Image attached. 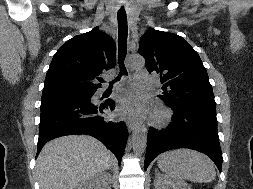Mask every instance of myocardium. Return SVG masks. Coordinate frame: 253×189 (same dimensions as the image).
<instances>
[{
    "label": "myocardium",
    "instance_id": "obj_1",
    "mask_svg": "<svg viewBox=\"0 0 253 189\" xmlns=\"http://www.w3.org/2000/svg\"><path fill=\"white\" fill-rule=\"evenodd\" d=\"M171 118V111L166 108H159L153 115V123L155 126L163 127L171 121Z\"/></svg>",
    "mask_w": 253,
    "mask_h": 189
}]
</instances>
